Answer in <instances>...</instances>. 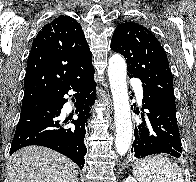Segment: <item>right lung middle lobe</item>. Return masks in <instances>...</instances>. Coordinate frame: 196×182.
Listing matches in <instances>:
<instances>
[{
	"instance_id": "obj_1",
	"label": "right lung middle lobe",
	"mask_w": 196,
	"mask_h": 182,
	"mask_svg": "<svg viewBox=\"0 0 196 182\" xmlns=\"http://www.w3.org/2000/svg\"><path fill=\"white\" fill-rule=\"evenodd\" d=\"M34 105H31V106H22V109H21V111H25V110H27V109H29V108H32Z\"/></svg>"
}]
</instances>
